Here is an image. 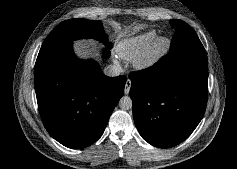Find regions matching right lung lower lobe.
Instances as JSON below:
<instances>
[{
  "mask_svg": "<svg viewBox=\"0 0 237 169\" xmlns=\"http://www.w3.org/2000/svg\"><path fill=\"white\" fill-rule=\"evenodd\" d=\"M109 49L104 57H109ZM125 76L107 77L93 60L78 59L71 41L43 44L34 82L38 108L48 133L69 148L98 140L124 93Z\"/></svg>",
  "mask_w": 237,
  "mask_h": 169,
  "instance_id": "98d812e1",
  "label": "right lung lower lobe"
}]
</instances>
